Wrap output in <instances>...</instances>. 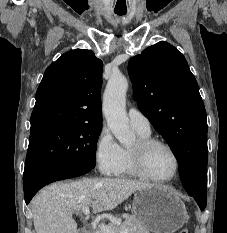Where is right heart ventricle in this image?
Masks as SVG:
<instances>
[{"label": "right heart ventricle", "instance_id": "right-heart-ventricle-1", "mask_svg": "<svg viewBox=\"0 0 227 233\" xmlns=\"http://www.w3.org/2000/svg\"><path fill=\"white\" fill-rule=\"evenodd\" d=\"M137 133L140 139H148L151 135V133H143L140 131H137ZM118 174L127 176H139L132 164L130 148H123V163Z\"/></svg>", "mask_w": 227, "mask_h": 233}]
</instances>
